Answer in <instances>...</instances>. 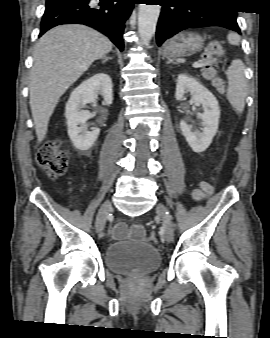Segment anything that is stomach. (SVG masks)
Instances as JSON below:
<instances>
[{
	"mask_svg": "<svg viewBox=\"0 0 270 338\" xmlns=\"http://www.w3.org/2000/svg\"><path fill=\"white\" fill-rule=\"evenodd\" d=\"M204 46L203 38L191 32H181L168 40L163 46V56L167 58H180L191 56Z\"/></svg>",
	"mask_w": 270,
	"mask_h": 338,
	"instance_id": "stomach-1",
	"label": "stomach"
}]
</instances>
